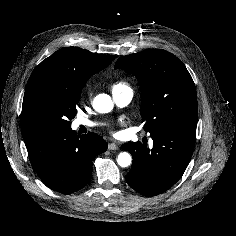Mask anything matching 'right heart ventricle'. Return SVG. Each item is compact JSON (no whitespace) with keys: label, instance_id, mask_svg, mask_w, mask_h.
I'll return each mask as SVG.
<instances>
[{"label":"right heart ventricle","instance_id":"right-heart-ventricle-1","mask_svg":"<svg viewBox=\"0 0 236 236\" xmlns=\"http://www.w3.org/2000/svg\"><path fill=\"white\" fill-rule=\"evenodd\" d=\"M124 88L130 89L129 86H128V84L125 83V82H122V81L117 82V83H115V84L113 85V91H114V90H117V89H124Z\"/></svg>","mask_w":236,"mask_h":236}]
</instances>
